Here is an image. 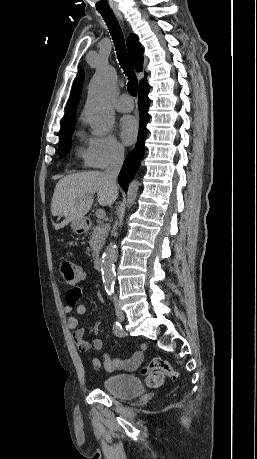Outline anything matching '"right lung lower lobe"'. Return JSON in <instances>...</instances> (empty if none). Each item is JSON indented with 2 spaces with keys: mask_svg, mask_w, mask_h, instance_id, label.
Returning <instances> with one entry per match:
<instances>
[{
  "mask_svg": "<svg viewBox=\"0 0 257 459\" xmlns=\"http://www.w3.org/2000/svg\"><path fill=\"white\" fill-rule=\"evenodd\" d=\"M149 90L150 87L147 81L139 85L138 108L140 112V127L138 140L135 148L126 157L118 177L119 184L125 192H127L128 183L132 180L134 174L138 170L145 153L144 141L147 135L146 125L149 121Z\"/></svg>",
  "mask_w": 257,
  "mask_h": 459,
  "instance_id": "obj_1",
  "label": "right lung lower lobe"
}]
</instances>
